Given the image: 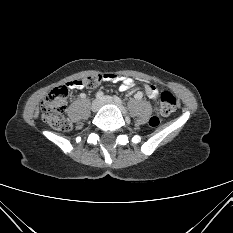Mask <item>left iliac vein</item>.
I'll list each match as a JSON object with an SVG mask.
<instances>
[{"label":"left iliac vein","instance_id":"left-iliac-vein-1","mask_svg":"<svg viewBox=\"0 0 233 233\" xmlns=\"http://www.w3.org/2000/svg\"><path fill=\"white\" fill-rule=\"evenodd\" d=\"M102 103L103 104H113V105H116L117 107H119V109L121 110V112L124 115H126V111L121 107L120 104L116 103L115 100L112 97H110V96L103 97Z\"/></svg>","mask_w":233,"mask_h":233}]
</instances>
